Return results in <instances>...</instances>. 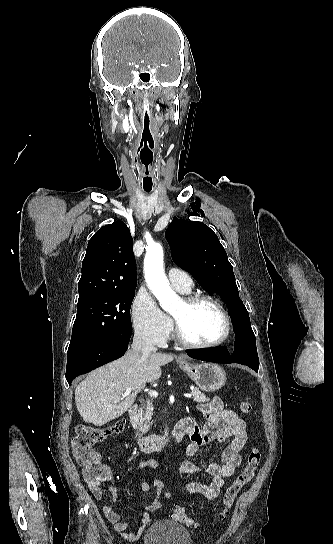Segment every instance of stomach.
<instances>
[{
  "label": "stomach",
  "mask_w": 333,
  "mask_h": 544,
  "mask_svg": "<svg viewBox=\"0 0 333 544\" xmlns=\"http://www.w3.org/2000/svg\"><path fill=\"white\" fill-rule=\"evenodd\" d=\"M179 365L192 378L196 385L205 392H215L226 383V373L217 364L201 363L190 365L180 363Z\"/></svg>",
  "instance_id": "obj_1"
}]
</instances>
